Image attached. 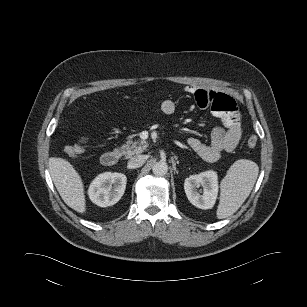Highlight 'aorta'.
Instances as JSON below:
<instances>
[{
  "label": "aorta",
  "mask_w": 307,
  "mask_h": 307,
  "mask_svg": "<svg viewBox=\"0 0 307 307\" xmlns=\"http://www.w3.org/2000/svg\"><path fill=\"white\" fill-rule=\"evenodd\" d=\"M152 171L156 176H164L168 172V165L164 161H159L153 165Z\"/></svg>",
  "instance_id": "1"
}]
</instances>
